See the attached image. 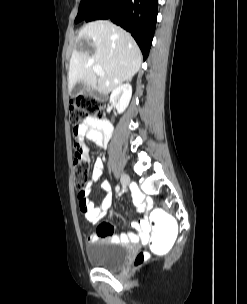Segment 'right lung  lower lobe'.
Here are the masks:
<instances>
[{"instance_id":"1","label":"right lung lower lobe","mask_w":247,"mask_h":304,"mask_svg":"<svg viewBox=\"0 0 247 304\" xmlns=\"http://www.w3.org/2000/svg\"><path fill=\"white\" fill-rule=\"evenodd\" d=\"M157 7L158 0H104L85 21L110 19L120 25L134 37L145 60L155 31Z\"/></svg>"}]
</instances>
